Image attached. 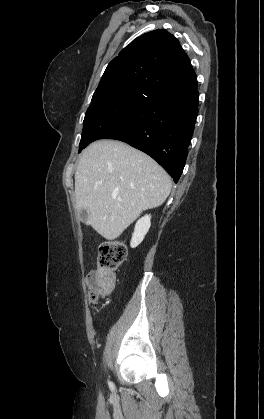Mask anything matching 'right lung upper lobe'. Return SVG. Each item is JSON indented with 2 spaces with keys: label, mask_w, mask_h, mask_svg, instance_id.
<instances>
[{
  "label": "right lung upper lobe",
  "mask_w": 264,
  "mask_h": 419,
  "mask_svg": "<svg viewBox=\"0 0 264 419\" xmlns=\"http://www.w3.org/2000/svg\"><path fill=\"white\" fill-rule=\"evenodd\" d=\"M197 83L196 74L178 40L164 29L141 35L107 66L99 86L133 85L154 95Z\"/></svg>",
  "instance_id": "1"
}]
</instances>
